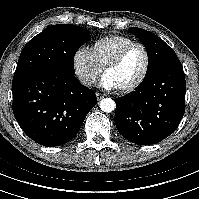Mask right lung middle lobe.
Instances as JSON below:
<instances>
[{"instance_id":"1","label":"right lung middle lobe","mask_w":199,"mask_h":199,"mask_svg":"<svg viewBox=\"0 0 199 199\" xmlns=\"http://www.w3.org/2000/svg\"><path fill=\"white\" fill-rule=\"evenodd\" d=\"M90 38L88 30L72 24H57L44 29L23 48L13 78L42 71L74 76L73 58Z\"/></svg>"}]
</instances>
